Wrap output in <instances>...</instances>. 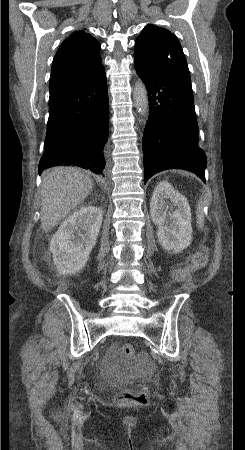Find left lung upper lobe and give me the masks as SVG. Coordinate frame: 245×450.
Wrapping results in <instances>:
<instances>
[{
    "label": "left lung upper lobe",
    "instance_id": "left-lung-upper-lobe-1",
    "mask_svg": "<svg viewBox=\"0 0 245 450\" xmlns=\"http://www.w3.org/2000/svg\"><path fill=\"white\" fill-rule=\"evenodd\" d=\"M134 59L135 66L167 76L194 99L186 58L177 37L170 31L147 25L136 39Z\"/></svg>",
    "mask_w": 245,
    "mask_h": 450
}]
</instances>
